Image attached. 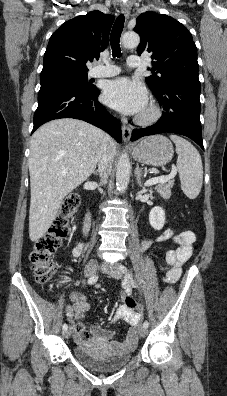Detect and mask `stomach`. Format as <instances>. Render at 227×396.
Masks as SVG:
<instances>
[{"instance_id":"obj_1","label":"stomach","mask_w":227,"mask_h":396,"mask_svg":"<svg viewBox=\"0 0 227 396\" xmlns=\"http://www.w3.org/2000/svg\"><path fill=\"white\" fill-rule=\"evenodd\" d=\"M132 154L138 162L151 166H163L171 161L173 146L166 137L155 135L141 140L133 148Z\"/></svg>"}]
</instances>
